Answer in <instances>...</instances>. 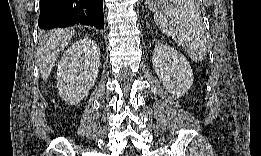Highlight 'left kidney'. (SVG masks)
<instances>
[{"label": "left kidney", "instance_id": "1", "mask_svg": "<svg viewBox=\"0 0 261 156\" xmlns=\"http://www.w3.org/2000/svg\"><path fill=\"white\" fill-rule=\"evenodd\" d=\"M155 73L172 94L182 96L193 83L191 66L185 56L168 45L155 47L152 57Z\"/></svg>", "mask_w": 261, "mask_h": 156}]
</instances>
